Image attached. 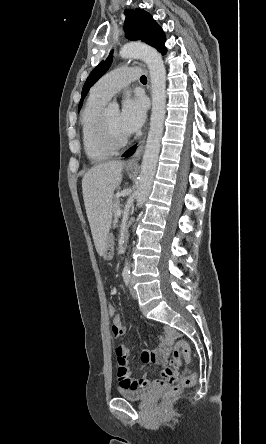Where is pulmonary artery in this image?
Segmentation results:
<instances>
[{
  "mask_svg": "<svg viewBox=\"0 0 266 444\" xmlns=\"http://www.w3.org/2000/svg\"><path fill=\"white\" fill-rule=\"evenodd\" d=\"M142 71V68L137 66L118 67L104 75L93 87L92 92L109 100L131 81L136 80Z\"/></svg>",
  "mask_w": 266,
  "mask_h": 444,
  "instance_id": "1",
  "label": "pulmonary artery"
}]
</instances>
